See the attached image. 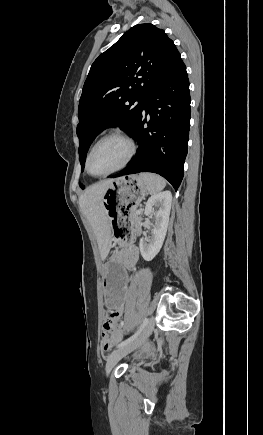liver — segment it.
Returning <instances> with one entry per match:
<instances>
[{
	"instance_id": "1",
	"label": "liver",
	"mask_w": 263,
	"mask_h": 435,
	"mask_svg": "<svg viewBox=\"0 0 263 435\" xmlns=\"http://www.w3.org/2000/svg\"><path fill=\"white\" fill-rule=\"evenodd\" d=\"M115 180L107 179L93 184L79 198V205L93 228L103 261L109 254L112 242L111 225L103 206V196Z\"/></svg>"
}]
</instances>
